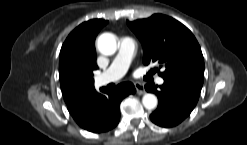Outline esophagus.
I'll use <instances>...</instances> for the list:
<instances>
[{
	"mask_svg": "<svg viewBox=\"0 0 247 145\" xmlns=\"http://www.w3.org/2000/svg\"><path fill=\"white\" fill-rule=\"evenodd\" d=\"M134 86L138 95H143L145 93L144 87L141 83L136 82L134 83Z\"/></svg>",
	"mask_w": 247,
	"mask_h": 145,
	"instance_id": "obj_1",
	"label": "esophagus"
}]
</instances>
